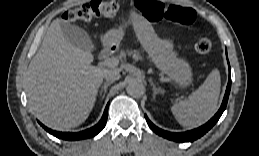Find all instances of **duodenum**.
I'll return each mask as SVG.
<instances>
[{
	"label": "duodenum",
	"instance_id": "duodenum-1",
	"mask_svg": "<svg viewBox=\"0 0 259 156\" xmlns=\"http://www.w3.org/2000/svg\"><path fill=\"white\" fill-rule=\"evenodd\" d=\"M114 51V47L112 45H106L101 53H100V59L105 60L107 59Z\"/></svg>",
	"mask_w": 259,
	"mask_h": 156
}]
</instances>
